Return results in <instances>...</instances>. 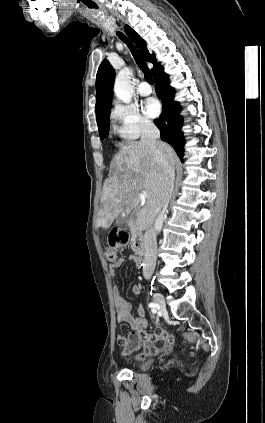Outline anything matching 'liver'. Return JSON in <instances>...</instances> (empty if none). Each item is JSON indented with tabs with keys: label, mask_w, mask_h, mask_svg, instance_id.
Here are the masks:
<instances>
[{
	"label": "liver",
	"mask_w": 265,
	"mask_h": 423,
	"mask_svg": "<svg viewBox=\"0 0 265 423\" xmlns=\"http://www.w3.org/2000/svg\"><path fill=\"white\" fill-rule=\"evenodd\" d=\"M167 160L174 170L175 155L166 144ZM111 176L105 181L100 199L101 211L97 226L107 228L118 215L129 214L139 206L140 193L148 196L138 211L136 225L139 230L153 226L161 209L165 172L154 150L141 142H132L114 156L110 165Z\"/></svg>",
	"instance_id": "liver-1"
}]
</instances>
